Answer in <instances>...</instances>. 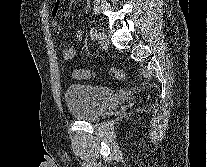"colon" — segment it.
<instances>
[{"label": "colon", "instance_id": "colon-1", "mask_svg": "<svg viewBox=\"0 0 207 167\" xmlns=\"http://www.w3.org/2000/svg\"><path fill=\"white\" fill-rule=\"evenodd\" d=\"M110 72L116 81L120 82L124 79V73L120 69L112 68ZM72 76L75 79L88 80L94 78L96 76V73L90 70L79 69L74 70L72 72Z\"/></svg>", "mask_w": 207, "mask_h": 167}]
</instances>
